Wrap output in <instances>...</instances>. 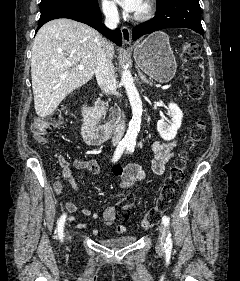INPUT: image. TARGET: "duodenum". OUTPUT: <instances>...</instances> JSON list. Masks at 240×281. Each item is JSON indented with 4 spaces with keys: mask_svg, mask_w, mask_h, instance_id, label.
<instances>
[{
    "mask_svg": "<svg viewBox=\"0 0 240 281\" xmlns=\"http://www.w3.org/2000/svg\"><path fill=\"white\" fill-rule=\"evenodd\" d=\"M82 113L84 117L82 124V136L86 143L97 145L112 136L114 132L113 123L98 125L96 118L89 106H85Z\"/></svg>",
    "mask_w": 240,
    "mask_h": 281,
    "instance_id": "1",
    "label": "duodenum"
}]
</instances>
